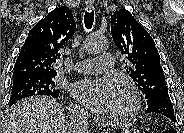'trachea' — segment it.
I'll list each match as a JSON object with an SVG mask.
<instances>
[{
  "mask_svg": "<svg viewBox=\"0 0 184 133\" xmlns=\"http://www.w3.org/2000/svg\"><path fill=\"white\" fill-rule=\"evenodd\" d=\"M93 22H94L93 11H91V12L86 11L85 15H84V24H85L86 29H88V30L91 29L93 26Z\"/></svg>",
  "mask_w": 184,
  "mask_h": 133,
  "instance_id": "obj_1",
  "label": "trachea"
}]
</instances>
